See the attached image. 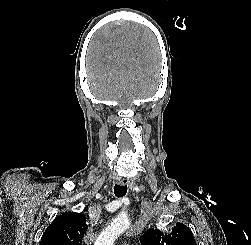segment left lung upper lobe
Wrapping results in <instances>:
<instances>
[{
  "instance_id": "1",
  "label": "left lung upper lobe",
  "mask_w": 251,
  "mask_h": 245,
  "mask_svg": "<svg viewBox=\"0 0 251 245\" xmlns=\"http://www.w3.org/2000/svg\"><path fill=\"white\" fill-rule=\"evenodd\" d=\"M141 245H197L191 230L182 223H176L171 234L157 229H148L140 237Z\"/></svg>"
}]
</instances>
